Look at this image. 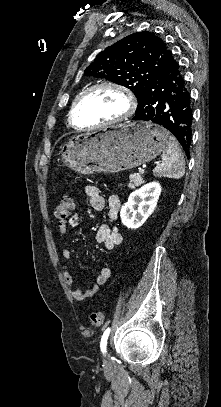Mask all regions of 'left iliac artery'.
Returning a JSON list of instances; mask_svg holds the SVG:
<instances>
[{
    "label": "left iliac artery",
    "mask_w": 221,
    "mask_h": 407,
    "mask_svg": "<svg viewBox=\"0 0 221 407\" xmlns=\"http://www.w3.org/2000/svg\"><path fill=\"white\" fill-rule=\"evenodd\" d=\"M110 333V328H107L101 338L100 342V347H101V352L104 353L106 351V345H107V339Z\"/></svg>",
    "instance_id": "left-iliac-artery-1"
}]
</instances>
